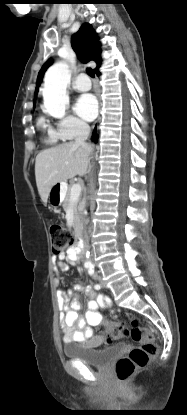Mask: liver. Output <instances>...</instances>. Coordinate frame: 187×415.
<instances>
[{
    "label": "liver",
    "mask_w": 187,
    "mask_h": 415,
    "mask_svg": "<svg viewBox=\"0 0 187 415\" xmlns=\"http://www.w3.org/2000/svg\"><path fill=\"white\" fill-rule=\"evenodd\" d=\"M89 151L74 142L63 143L41 151L35 161V178L39 195L47 203L51 188L76 175L84 176L89 164Z\"/></svg>",
    "instance_id": "1"
}]
</instances>
